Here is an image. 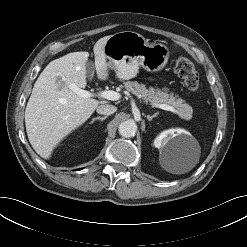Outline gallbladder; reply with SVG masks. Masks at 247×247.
I'll return each instance as SVG.
<instances>
[{
  "mask_svg": "<svg viewBox=\"0 0 247 247\" xmlns=\"http://www.w3.org/2000/svg\"><path fill=\"white\" fill-rule=\"evenodd\" d=\"M92 68H93L92 63H91V62H87V63H86V69H87L88 71H91Z\"/></svg>",
  "mask_w": 247,
  "mask_h": 247,
  "instance_id": "bac80fb5",
  "label": "gallbladder"
}]
</instances>
